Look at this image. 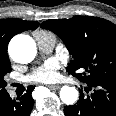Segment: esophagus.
Returning a JSON list of instances; mask_svg holds the SVG:
<instances>
[{
  "instance_id": "34e87169",
  "label": "esophagus",
  "mask_w": 116,
  "mask_h": 116,
  "mask_svg": "<svg viewBox=\"0 0 116 116\" xmlns=\"http://www.w3.org/2000/svg\"><path fill=\"white\" fill-rule=\"evenodd\" d=\"M60 87H61L60 85H48V88L53 89V90H57Z\"/></svg>"
}]
</instances>
